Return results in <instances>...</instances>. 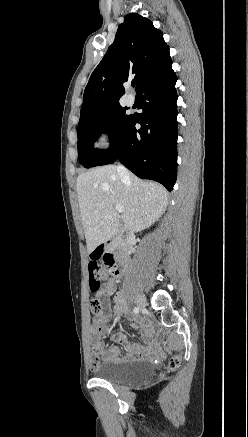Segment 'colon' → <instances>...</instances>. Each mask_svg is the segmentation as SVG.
I'll return each mask as SVG.
<instances>
[{
  "mask_svg": "<svg viewBox=\"0 0 248 437\" xmlns=\"http://www.w3.org/2000/svg\"><path fill=\"white\" fill-rule=\"evenodd\" d=\"M101 259L102 262L98 260ZM112 266L113 260L109 256L105 255L104 257H94L89 262V285L90 289L93 292H97L99 290L100 285L105 283L110 275L112 274ZM91 311L98 315L101 312L102 305L98 299H92L90 302ZM179 364V357L175 356L171 358L169 362V367L171 369L177 368Z\"/></svg>",
  "mask_w": 248,
  "mask_h": 437,
  "instance_id": "obj_1",
  "label": "colon"
}]
</instances>
